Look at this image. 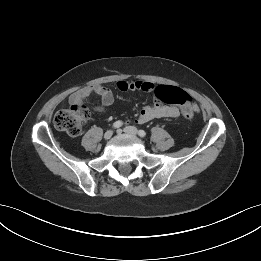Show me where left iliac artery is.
Listing matches in <instances>:
<instances>
[{
    "label": "left iliac artery",
    "mask_w": 261,
    "mask_h": 261,
    "mask_svg": "<svg viewBox=\"0 0 261 261\" xmlns=\"http://www.w3.org/2000/svg\"><path fill=\"white\" fill-rule=\"evenodd\" d=\"M138 134H139L140 137L146 136V132L144 130H139Z\"/></svg>",
    "instance_id": "44dca946"
}]
</instances>
